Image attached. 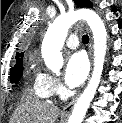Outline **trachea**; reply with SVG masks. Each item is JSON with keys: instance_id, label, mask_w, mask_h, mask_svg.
<instances>
[{"instance_id": "obj_1", "label": "trachea", "mask_w": 122, "mask_h": 123, "mask_svg": "<svg viewBox=\"0 0 122 123\" xmlns=\"http://www.w3.org/2000/svg\"><path fill=\"white\" fill-rule=\"evenodd\" d=\"M82 41H83V43L87 44L88 41H89L88 35H83V36H82Z\"/></svg>"}]
</instances>
